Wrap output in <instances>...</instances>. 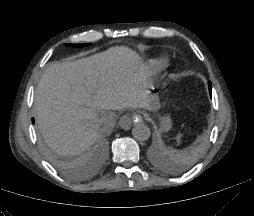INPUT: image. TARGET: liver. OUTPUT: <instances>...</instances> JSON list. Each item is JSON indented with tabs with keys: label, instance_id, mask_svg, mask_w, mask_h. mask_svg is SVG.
Instances as JSON below:
<instances>
[{
	"label": "liver",
	"instance_id": "1",
	"mask_svg": "<svg viewBox=\"0 0 254 216\" xmlns=\"http://www.w3.org/2000/svg\"><path fill=\"white\" fill-rule=\"evenodd\" d=\"M143 62L132 50L112 47L76 61L50 64L37 85L39 131L61 156L77 155L111 130L116 111L153 110ZM97 117L105 119L96 127Z\"/></svg>",
	"mask_w": 254,
	"mask_h": 216
}]
</instances>
